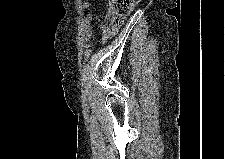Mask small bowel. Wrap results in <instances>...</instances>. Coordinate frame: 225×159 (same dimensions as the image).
<instances>
[{"label":"small bowel","instance_id":"small-bowel-1","mask_svg":"<svg viewBox=\"0 0 225 159\" xmlns=\"http://www.w3.org/2000/svg\"><path fill=\"white\" fill-rule=\"evenodd\" d=\"M80 9L82 11L90 10V4L87 1L80 3ZM98 22L102 28L103 34L101 41L106 42L113 34L112 30L102 21L101 17L97 13H91L83 17L80 25V40L82 43H88L92 37V25L94 22Z\"/></svg>","mask_w":225,"mask_h":159}]
</instances>
